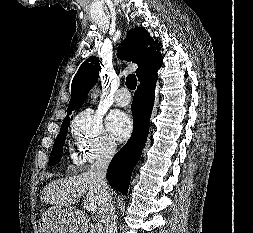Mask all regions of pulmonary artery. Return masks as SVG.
Listing matches in <instances>:
<instances>
[{
    "mask_svg": "<svg viewBox=\"0 0 253 233\" xmlns=\"http://www.w3.org/2000/svg\"><path fill=\"white\" fill-rule=\"evenodd\" d=\"M114 102L118 106H127L131 102L128 90L124 87L117 90L114 96Z\"/></svg>",
    "mask_w": 253,
    "mask_h": 233,
    "instance_id": "e3ab8cb5",
    "label": "pulmonary artery"
}]
</instances>
